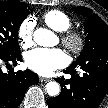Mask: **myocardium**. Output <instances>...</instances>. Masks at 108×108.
<instances>
[{
  "label": "myocardium",
  "mask_w": 108,
  "mask_h": 108,
  "mask_svg": "<svg viewBox=\"0 0 108 108\" xmlns=\"http://www.w3.org/2000/svg\"><path fill=\"white\" fill-rule=\"evenodd\" d=\"M61 42L71 53L78 54L82 51L85 40L78 31L68 29L62 32Z\"/></svg>",
  "instance_id": "1"
}]
</instances>
